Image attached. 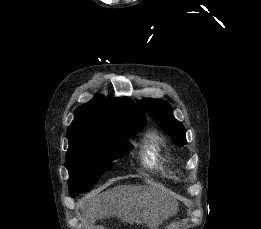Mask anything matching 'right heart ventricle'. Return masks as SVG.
Wrapping results in <instances>:
<instances>
[{"label":"right heart ventricle","instance_id":"1","mask_svg":"<svg viewBox=\"0 0 261 229\" xmlns=\"http://www.w3.org/2000/svg\"><path fill=\"white\" fill-rule=\"evenodd\" d=\"M139 156L146 166H163L168 158L164 140L156 133L147 134L139 146Z\"/></svg>","mask_w":261,"mask_h":229}]
</instances>
